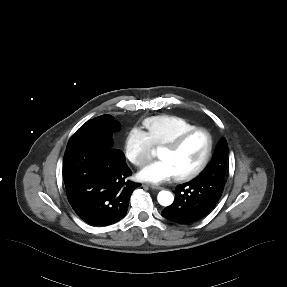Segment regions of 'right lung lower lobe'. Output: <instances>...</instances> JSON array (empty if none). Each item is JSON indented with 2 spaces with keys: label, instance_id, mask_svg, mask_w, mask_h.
<instances>
[{
  "label": "right lung lower lobe",
  "instance_id": "98d812e1",
  "mask_svg": "<svg viewBox=\"0 0 287 287\" xmlns=\"http://www.w3.org/2000/svg\"><path fill=\"white\" fill-rule=\"evenodd\" d=\"M62 174L70 205L92 226L122 219L132 192L140 186L127 179L131 170L123 152L97 142L67 146Z\"/></svg>",
  "mask_w": 287,
  "mask_h": 287
}]
</instances>
